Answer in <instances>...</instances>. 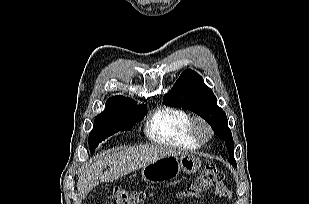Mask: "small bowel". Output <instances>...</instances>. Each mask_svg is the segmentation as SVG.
I'll list each match as a JSON object with an SVG mask.
<instances>
[{
    "mask_svg": "<svg viewBox=\"0 0 309 204\" xmlns=\"http://www.w3.org/2000/svg\"><path fill=\"white\" fill-rule=\"evenodd\" d=\"M215 193L218 196H229L230 192L223 183H219L215 188Z\"/></svg>",
    "mask_w": 309,
    "mask_h": 204,
    "instance_id": "c3829d8e",
    "label": "small bowel"
}]
</instances>
